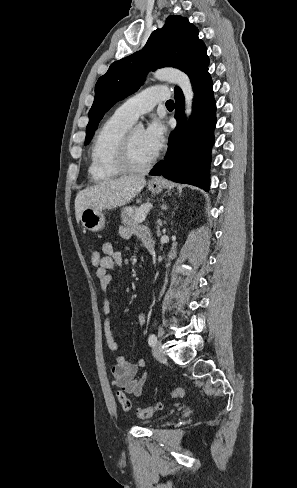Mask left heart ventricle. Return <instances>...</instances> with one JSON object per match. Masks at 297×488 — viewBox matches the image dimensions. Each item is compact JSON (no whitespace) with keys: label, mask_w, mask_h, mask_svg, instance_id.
<instances>
[{"label":"left heart ventricle","mask_w":297,"mask_h":488,"mask_svg":"<svg viewBox=\"0 0 297 488\" xmlns=\"http://www.w3.org/2000/svg\"><path fill=\"white\" fill-rule=\"evenodd\" d=\"M130 158L135 166H143L153 158L143 142L142 131L131 132Z\"/></svg>","instance_id":"b2bd125f"}]
</instances>
